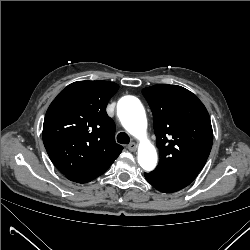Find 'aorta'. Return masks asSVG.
I'll use <instances>...</instances> for the list:
<instances>
[{
  "instance_id": "762f6f07",
  "label": "aorta",
  "mask_w": 250,
  "mask_h": 250,
  "mask_svg": "<svg viewBox=\"0 0 250 250\" xmlns=\"http://www.w3.org/2000/svg\"><path fill=\"white\" fill-rule=\"evenodd\" d=\"M121 111V123L133 136L140 139L138 149V163L146 171H151L157 164L155 147L146 138L147 119L141 102L134 96L121 98L117 106Z\"/></svg>"
}]
</instances>
